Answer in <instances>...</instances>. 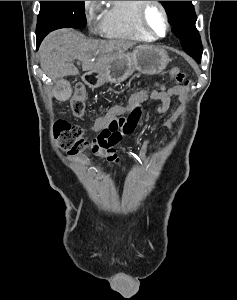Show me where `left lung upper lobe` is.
<instances>
[{
	"mask_svg": "<svg viewBox=\"0 0 237 300\" xmlns=\"http://www.w3.org/2000/svg\"><path fill=\"white\" fill-rule=\"evenodd\" d=\"M164 6L173 32L180 39L182 47L200 63L203 48L195 27L196 14L192 1H160Z\"/></svg>",
	"mask_w": 237,
	"mask_h": 300,
	"instance_id": "obj_1",
	"label": "left lung upper lobe"
}]
</instances>
